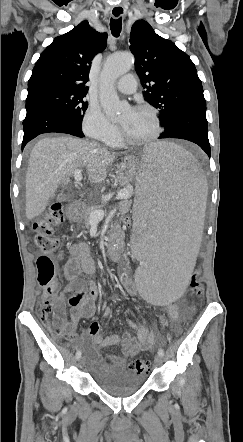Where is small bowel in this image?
Returning <instances> with one entry per match:
<instances>
[{"mask_svg":"<svg viewBox=\"0 0 243 442\" xmlns=\"http://www.w3.org/2000/svg\"><path fill=\"white\" fill-rule=\"evenodd\" d=\"M95 271L96 263L91 255L90 247L83 242L73 244L70 247V258L64 267V275L68 284L56 298L55 311L57 313L64 312L66 305L70 306L68 337L71 341L87 345V356L93 364L98 365L104 362V359L98 353L99 348L119 345L121 354L109 356L107 360L118 368H125L130 357L142 351L154 349L157 343V335L149 327L128 320V327L136 329L137 336L125 332L103 337L100 333V323L97 320H93L88 328V332L80 338L77 337L75 330L78 322L82 318H93L96 312L98 289L90 278L94 275ZM82 275L89 278L84 279ZM122 281L126 284L131 294L136 293L135 288L129 284L126 275H122ZM71 293L74 294L67 297ZM168 313L174 322L178 321L180 313L175 305H169ZM174 328L178 329L177 326Z\"/></svg>","mask_w":243,"mask_h":442,"instance_id":"1","label":"small bowel"}]
</instances>
